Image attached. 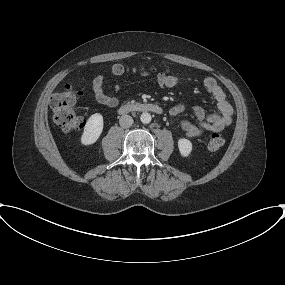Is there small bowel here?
I'll return each mask as SVG.
<instances>
[{
    "label": "small bowel",
    "mask_w": 285,
    "mask_h": 285,
    "mask_svg": "<svg viewBox=\"0 0 285 285\" xmlns=\"http://www.w3.org/2000/svg\"><path fill=\"white\" fill-rule=\"evenodd\" d=\"M140 74L148 75V72L141 71ZM156 82L161 88L172 89L178 86L181 83V80L176 75L159 73L156 76ZM203 85L206 91L216 101L218 112L206 115L202 108L194 107L192 111L195 118L198 120L197 124L188 120H181L178 122L179 128L187 137H201L208 131L220 132L232 122L233 108L217 81L213 77H207L204 79ZM118 90L119 86L115 85L114 91L117 92ZM92 91L96 100L104 106L116 107L119 103L117 97L105 92L102 75H98L93 79ZM184 111L185 106L178 104L170 109V115L175 118Z\"/></svg>",
    "instance_id": "obj_1"
}]
</instances>
